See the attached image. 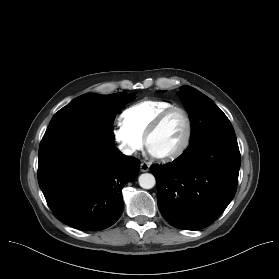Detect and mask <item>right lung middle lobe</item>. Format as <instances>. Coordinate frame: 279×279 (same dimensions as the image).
<instances>
[{
	"label": "right lung middle lobe",
	"mask_w": 279,
	"mask_h": 279,
	"mask_svg": "<svg viewBox=\"0 0 279 279\" xmlns=\"http://www.w3.org/2000/svg\"><path fill=\"white\" fill-rule=\"evenodd\" d=\"M134 99V94L127 93L82 95L53 116L45 134L64 128H84L113 142L112 126L116 113Z\"/></svg>",
	"instance_id": "right-lung-middle-lobe-1"
}]
</instances>
